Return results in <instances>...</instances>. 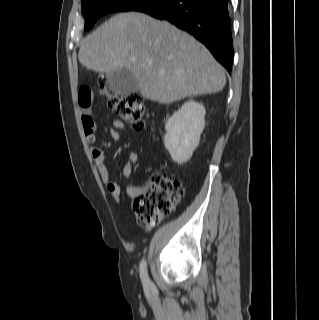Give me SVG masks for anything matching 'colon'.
<instances>
[{
    "label": "colon",
    "mask_w": 319,
    "mask_h": 320,
    "mask_svg": "<svg viewBox=\"0 0 319 320\" xmlns=\"http://www.w3.org/2000/svg\"><path fill=\"white\" fill-rule=\"evenodd\" d=\"M101 93L106 96L109 106L135 130L145 127L147 110L139 94H116L101 84ZM185 196L183 186L162 175L154 173L147 178L133 201L137 222L143 226H155L161 219L174 211Z\"/></svg>",
    "instance_id": "1"
}]
</instances>
